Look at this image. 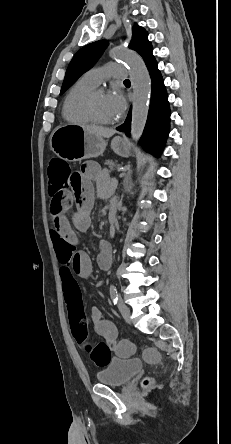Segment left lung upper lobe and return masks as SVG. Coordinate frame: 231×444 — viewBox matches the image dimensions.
<instances>
[{
	"instance_id": "5c2ea615",
	"label": "left lung upper lobe",
	"mask_w": 231,
	"mask_h": 444,
	"mask_svg": "<svg viewBox=\"0 0 231 444\" xmlns=\"http://www.w3.org/2000/svg\"><path fill=\"white\" fill-rule=\"evenodd\" d=\"M107 45L108 42L106 40L96 41L87 44L74 55L67 68L60 94L64 93L83 73L96 63ZM129 48L141 55L144 61L152 54V45L148 41V34L137 24L132 29V40Z\"/></svg>"
}]
</instances>
